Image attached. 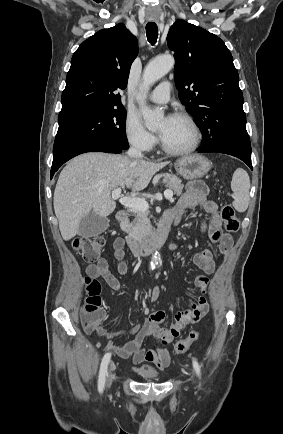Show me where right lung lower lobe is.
<instances>
[{
    "mask_svg": "<svg viewBox=\"0 0 283 434\" xmlns=\"http://www.w3.org/2000/svg\"><path fill=\"white\" fill-rule=\"evenodd\" d=\"M124 149L109 142H89L75 146L62 155L53 158L51 168V178L55 172L69 159L86 152H106V153H121Z\"/></svg>",
    "mask_w": 283,
    "mask_h": 434,
    "instance_id": "right-lung-lower-lobe-1",
    "label": "right lung lower lobe"
}]
</instances>
